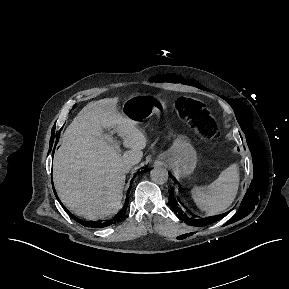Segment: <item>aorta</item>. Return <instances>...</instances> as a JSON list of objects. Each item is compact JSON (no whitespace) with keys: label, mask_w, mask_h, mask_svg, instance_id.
Returning <instances> with one entry per match:
<instances>
[{"label":"aorta","mask_w":289,"mask_h":289,"mask_svg":"<svg viewBox=\"0 0 289 289\" xmlns=\"http://www.w3.org/2000/svg\"><path fill=\"white\" fill-rule=\"evenodd\" d=\"M151 180L156 184H164L168 181V171L163 167H156L150 172Z\"/></svg>","instance_id":"1"}]
</instances>
